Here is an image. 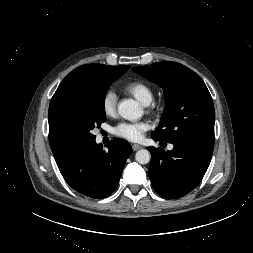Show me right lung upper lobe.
Segmentation results:
<instances>
[{
	"instance_id": "obj_1",
	"label": "right lung upper lobe",
	"mask_w": 253,
	"mask_h": 253,
	"mask_svg": "<svg viewBox=\"0 0 253 253\" xmlns=\"http://www.w3.org/2000/svg\"><path fill=\"white\" fill-rule=\"evenodd\" d=\"M129 68V65L108 66L103 64H86L74 69L63 79L51 99L48 111L49 143L53 155H57L70 147L58 135L53 124V109L56 103L68 94L90 92L95 89L100 79L117 77L121 73H125Z\"/></svg>"
}]
</instances>
